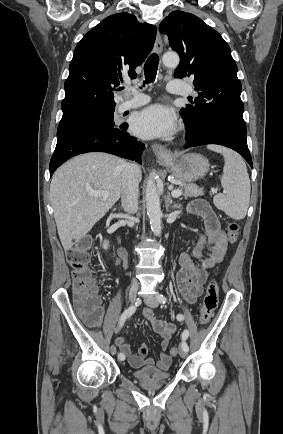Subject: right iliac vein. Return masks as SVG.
Wrapping results in <instances>:
<instances>
[{
    "mask_svg": "<svg viewBox=\"0 0 283 434\" xmlns=\"http://www.w3.org/2000/svg\"><path fill=\"white\" fill-rule=\"evenodd\" d=\"M138 288H139V285L136 282L133 283L132 286H131V288H130V291H129V301L131 303H134L135 300H136ZM110 352H111L112 355H115L117 353L116 347L114 345L111 346Z\"/></svg>",
    "mask_w": 283,
    "mask_h": 434,
    "instance_id": "63e3f726",
    "label": "right iliac vein"
}]
</instances>
